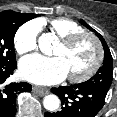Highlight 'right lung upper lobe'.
Masks as SVG:
<instances>
[{
  "mask_svg": "<svg viewBox=\"0 0 117 117\" xmlns=\"http://www.w3.org/2000/svg\"><path fill=\"white\" fill-rule=\"evenodd\" d=\"M27 15L30 19H33L38 16V14H31V13H28Z\"/></svg>",
  "mask_w": 117,
  "mask_h": 117,
  "instance_id": "1",
  "label": "right lung upper lobe"
}]
</instances>
